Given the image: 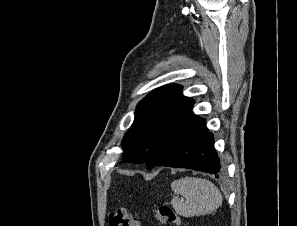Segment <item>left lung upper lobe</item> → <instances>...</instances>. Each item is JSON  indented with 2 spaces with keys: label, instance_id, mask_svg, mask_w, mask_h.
<instances>
[{
  "label": "left lung upper lobe",
  "instance_id": "left-lung-upper-lobe-1",
  "mask_svg": "<svg viewBox=\"0 0 297 226\" xmlns=\"http://www.w3.org/2000/svg\"><path fill=\"white\" fill-rule=\"evenodd\" d=\"M179 85H165L141 100L131 128L122 141L123 162L153 168L172 144L192 113L194 101L181 94Z\"/></svg>",
  "mask_w": 297,
  "mask_h": 226
}]
</instances>
